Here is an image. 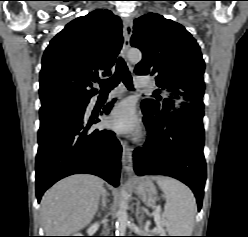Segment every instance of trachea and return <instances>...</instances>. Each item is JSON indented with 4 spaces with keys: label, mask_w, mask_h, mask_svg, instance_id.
Listing matches in <instances>:
<instances>
[{
    "label": "trachea",
    "mask_w": 248,
    "mask_h": 237,
    "mask_svg": "<svg viewBox=\"0 0 248 237\" xmlns=\"http://www.w3.org/2000/svg\"><path fill=\"white\" fill-rule=\"evenodd\" d=\"M122 81L129 90H133L132 77L122 58L117 61L116 72L106 80H98L101 92H107L116 87Z\"/></svg>",
    "instance_id": "1"
}]
</instances>
